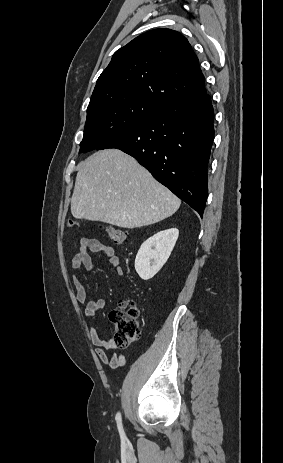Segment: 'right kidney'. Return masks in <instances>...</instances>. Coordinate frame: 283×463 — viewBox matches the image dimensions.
I'll return each instance as SVG.
<instances>
[{
	"mask_svg": "<svg viewBox=\"0 0 283 463\" xmlns=\"http://www.w3.org/2000/svg\"><path fill=\"white\" fill-rule=\"evenodd\" d=\"M178 236V229L171 228L156 233L141 245L135 259V270L141 279L149 280L159 272L167 262Z\"/></svg>",
	"mask_w": 283,
	"mask_h": 463,
	"instance_id": "obj_1",
	"label": "right kidney"
}]
</instances>
